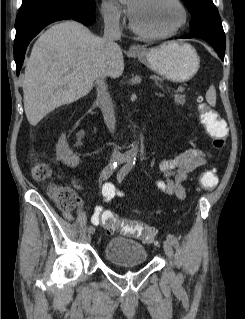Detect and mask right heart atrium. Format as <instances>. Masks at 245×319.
<instances>
[{
	"instance_id": "obj_1",
	"label": "right heart atrium",
	"mask_w": 245,
	"mask_h": 319,
	"mask_svg": "<svg viewBox=\"0 0 245 319\" xmlns=\"http://www.w3.org/2000/svg\"><path fill=\"white\" fill-rule=\"evenodd\" d=\"M101 13L106 25L114 30L122 28V13L120 9L109 1H104L101 5Z\"/></svg>"
}]
</instances>
